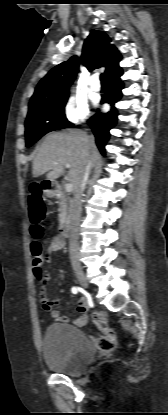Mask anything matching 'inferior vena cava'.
<instances>
[{"label":"inferior vena cava","mask_w":168,"mask_h":415,"mask_svg":"<svg viewBox=\"0 0 168 415\" xmlns=\"http://www.w3.org/2000/svg\"><path fill=\"white\" fill-rule=\"evenodd\" d=\"M91 145H94V138L91 136ZM92 164L89 161L85 166L84 172L81 175L77 185L73 190V199L71 205L70 214V226H69V253L70 260L73 268H80L79 262V225L81 218V198L85 189L86 183L89 178Z\"/></svg>","instance_id":"602c4592"}]
</instances>
